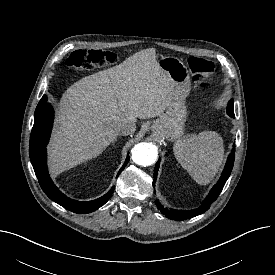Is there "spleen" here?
<instances>
[{
	"mask_svg": "<svg viewBox=\"0 0 275 275\" xmlns=\"http://www.w3.org/2000/svg\"><path fill=\"white\" fill-rule=\"evenodd\" d=\"M174 154L197 183L206 185L214 178L224 160L223 139L214 131L184 136L175 143Z\"/></svg>",
	"mask_w": 275,
	"mask_h": 275,
	"instance_id": "1",
	"label": "spleen"
}]
</instances>
